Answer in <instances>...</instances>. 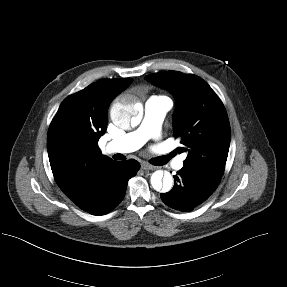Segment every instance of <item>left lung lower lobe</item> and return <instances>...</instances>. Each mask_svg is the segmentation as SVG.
Segmentation results:
<instances>
[{"label": "left lung lower lobe", "instance_id": "1", "mask_svg": "<svg viewBox=\"0 0 287 287\" xmlns=\"http://www.w3.org/2000/svg\"><path fill=\"white\" fill-rule=\"evenodd\" d=\"M174 179L172 190L161 193L160 197L169 207L187 212L205 201L218 185L188 165H184Z\"/></svg>", "mask_w": 287, "mask_h": 287}]
</instances>
